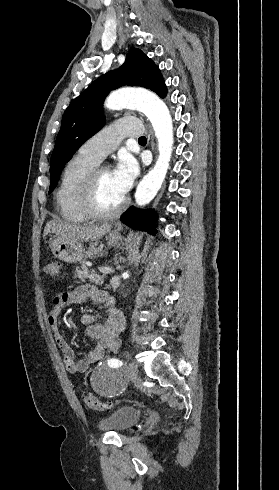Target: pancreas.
Masks as SVG:
<instances>
[{"mask_svg": "<svg viewBox=\"0 0 279 490\" xmlns=\"http://www.w3.org/2000/svg\"><path fill=\"white\" fill-rule=\"evenodd\" d=\"M76 272L74 274V278L80 280V282H91V284H103L104 276H99V274H95L92 270H88L85 264H81V266H77L75 268Z\"/></svg>", "mask_w": 279, "mask_h": 490, "instance_id": "pancreas-1", "label": "pancreas"}]
</instances>
